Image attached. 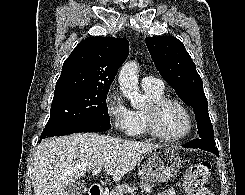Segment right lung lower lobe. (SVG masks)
Here are the masks:
<instances>
[{
	"instance_id": "1",
	"label": "right lung lower lobe",
	"mask_w": 245,
	"mask_h": 195,
	"mask_svg": "<svg viewBox=\"0 0 245 195\" xmlns=\"http://www.w3.org/2000/svg\"><path fill=\"white\" fill-rule=\"evenodd\" d=\"M110 128H111L110 122L91 121V122H87V123L75 126L71 129H68L64 132L57 134L56 136H63V135L78 133V132H100V131L109 130Z\"/></svg>"
}]
</instances>
